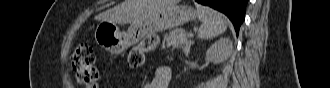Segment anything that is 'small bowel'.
<instances>
[{"instance_id":"obj_1","label":"small bowel","mask_w":330,"mask_h":88,"mask_svg":"<svg viewBox=\"0 0 330 88\" xmlns=\"http://www.w3.org/2000/svg\"><path fill=\"white\" fill-rule=\"evenodd\" d=\"M171 79V70L168 67H157L154 77L149 82H143V88H167Z\"/></svg>"}]
</instances>
